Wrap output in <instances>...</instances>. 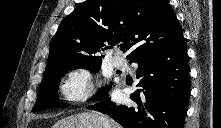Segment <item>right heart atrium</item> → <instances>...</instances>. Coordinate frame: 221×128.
Segmentation results:
<instances>
[{
	"label": "right heart atrium",
	"mask_w": 221,
	"mask_h": 128,
	"mask_svg": "<svg viewBox=\"0 0 221 128\" xmlns=\"http://www.w3.org/2000/svg\"><path fill=\"white\" fill-rule=\"evenodd\" d=\"M63 97L71 102L87 99L92 93V77L85 68H71L61 85Z\"/></svg>",
	"instance_id": "obj_1"
}]
</instances>
